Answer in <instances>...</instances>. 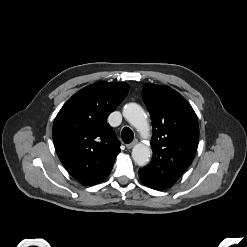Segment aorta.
Returning a JSON list of instances; mask_svg holds the SVG:
<instances>
[{
  "label": "aorta",
  "mask_w": 247,
  "mask_h": 247,
  "mask_svg": "<svg viewBox=\"0 0 247 247\" xmlns=\"http://www.w3.org/2000/svg\"><path fill=\"white\" fill-rule=\"evenodd\" d=\"M124 118L142 135L148 134L149 123L144 109L137 103H128L123 107ZM151 157L149 146L139 143L132 149V158L139 166H145Z\"/></svg>",
  "instance_id": "762f6f07"
}]
</instances>
